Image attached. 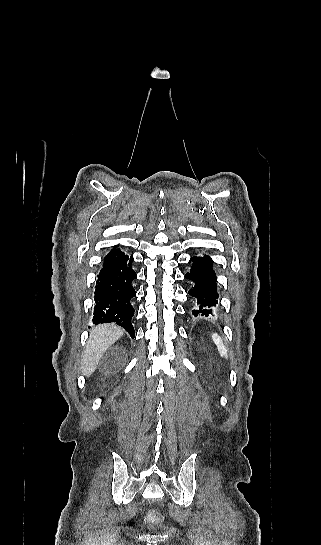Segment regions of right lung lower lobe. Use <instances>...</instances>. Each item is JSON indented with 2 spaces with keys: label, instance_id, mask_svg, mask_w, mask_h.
Segmentation results:
<instances>
[{
  "label": "right lung lower lobe",
  "instance_id": "1",
  "mask_svg": "<svg viewBox=\"0 0 321 545\" xmlns=\"http://www.w3.org/2000/svg\"><path fill=\"white\" fill-rule=\"evenodd\" d=\"M133 261V257L116 247L104 258L103 268L97 275L93 316L94 324L116 322L132 338L135 331L131 318L135 310L130 299L136 292L131 283L137 278L131 267Z\"/></svg>",
  "mask_w": 321,
  "mask_h": 545
}]
</instances>
